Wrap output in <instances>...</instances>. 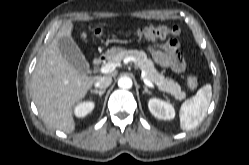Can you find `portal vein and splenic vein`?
I'll use <instances>...</instances> for the list:
<instances>
[{
	"instance_id": "1",
	"label": "portal vein and splenic vein",
	"mask_w": 249,
	"mask_h": 165,
	"mask_svg": "<svg viewBox=\"0 0 249 165\" xmlns=\"http://www.w3.org/2000/svg\"><path fill=\"white\" fill-rule=\"evenodd\" d=\"M117 66L118 64L116 63H108L100 68V73L102 74L111 73L116 69ZM142 76H143V82L145 83V85H147L150 88H154V84L150 80H148L144 74Z\"/></svg>"
}]
</instances>
